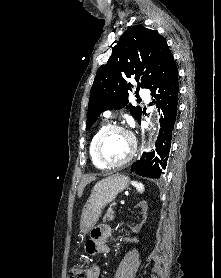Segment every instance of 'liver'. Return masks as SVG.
Masks as SVG:
<instances>
[{
    "mask_svg": "<svg viewBox=\"0 0 221 278\" xmlns=\"http://www.w3.org/2000/svg\"><path fill=\"white\" fill-rule=\"evenodd\" d=\"M96 179L95 176H84L78 186V197L80 198L83 194L84 188L87 184L91 183Z\"/></svg>",
    "mask_w": 221,
    "mask_h": 278,
    "instance_id": "6515ba94",
    "label": "liver"
}]
</instances>
